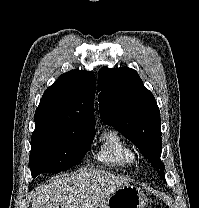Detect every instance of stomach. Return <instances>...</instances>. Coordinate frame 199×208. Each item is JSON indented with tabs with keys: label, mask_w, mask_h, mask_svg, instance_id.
I'll list each match as a JSON object with an SVG mask.
<instances>
[{
	"label": "stomach",
	"mask_w": 199,
	"mask_h": 208,
	"mask_svg": "<svg viewBox=\"0 0 199 208\" xmlns=\"http://www.w3.org/2000/svg\"><path fill=\"white\" fill-rule=\"evenodd\" d=\"M146 196L139 187L124 185L95 208H144Z\"/></svg>",
	"instance_id": "1"
}]
</instances>
